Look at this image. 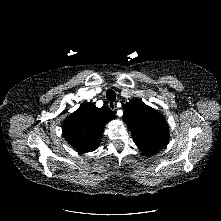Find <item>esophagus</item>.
I'll list each match as a JSON object with an SVG mask.
<instances>
[{
	"mask_svg": "<svg viewBox=\"0 0 221 221\" xmlns=\"http://www.w3.org/2000/svg\"><path fill=\"white\" fill-rule=\"evenodd\" d=\"M108 107L113 111L117 109L116 103L113 101L108 102Z\"/></svg>",
	"mask_w": 221,
	"mask_h": 221,
	"instance_id": "1",
	"label": "esophagus"
}]
</instances>
